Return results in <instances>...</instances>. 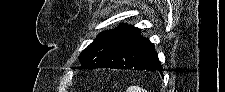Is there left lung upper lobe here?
Here are the masks:
<instances>
[{
  "label": "left lung upper lobe",
  "instance_id": "obj_1",
  "mask_svg": "<svg viewBox=\"0 0 225 92\" xmlns=\"http://www.w3.org/2000/svg\"><path fill=\"white\" fill-rule=\"evenodd\" d=\"M139 35V28L126 24H121L112 30L103 31L80 54L79 59L82 64L80 68L95 69L105 59Z\"/></svg>",
  "mask_w": 225,
  "mask_h": 92
}]
</instances>
